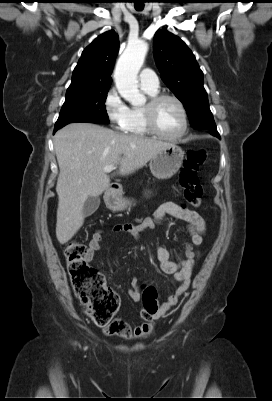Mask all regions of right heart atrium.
I'll return each instance as SVG.
<instances>
[{
    "instance_id": "d8ad5b80",
    "label": "right heart atrium",
    "mask_w": 272,
    "mask_h": 401,
    "mask_svg": "<svg viewBox=\"0 0 272 401\" xmlns=\"http://www.w3.org/2000/svg\"><path fill=\"white\" fill-rule=\"evenodd\" d=\"M103 105L105 113L113 127L118 130H124L129 119L130 108L115 87L107 91Z\"/></svg>"
}]
</instances>
